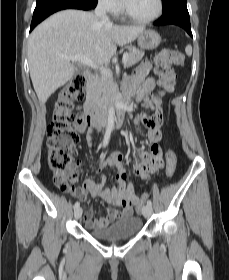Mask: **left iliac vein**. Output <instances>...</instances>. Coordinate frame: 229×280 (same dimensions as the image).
<instances>
[{
  "instance_id": "1",
  "label": "left iliac vein",
  "mask_w": 229,
  "mask_h": 280,
  "mask_svg": "<svg viewBox=\"0 0 229 280\" xmlns=\"http://www.w3.org/2000/svg\"><path fill=\"white\" fill-rule=\"evenodd\" d=\"M142 214L144 217H149L152 214V207L149 205H145L142 208Z\"/></svg>"
}]
</instances>
